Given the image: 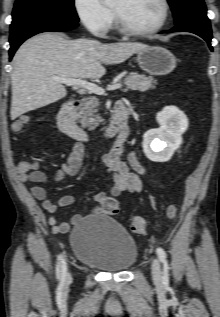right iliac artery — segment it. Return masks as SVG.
<instances>
[{
  "mask_svg": "<svg viewBox=\"0 0 220 317\" xmlns=\"http://www.w3.org/2000/svg\"><path fill=\"white\" fill-rule=\"evenodd\" d=\"M66 263L63 259L62 255L58 256V262H57V267H56V273H57V277L61 278L62 282L64 281L65 278V274H66Z\"/></svg>",
  "mask_w": 220,
  "mask_h": 317,
  "instance_id": "82829eb1",
  "label": "right iliac artery"
}]
</instances>
